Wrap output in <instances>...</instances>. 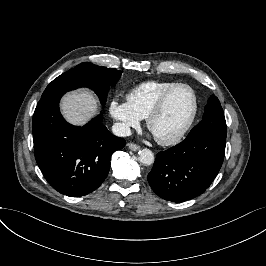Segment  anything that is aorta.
Instances as JSON below:
<instances>
[{
	"instance_id": "obj_1",
	"label": "aorta",
	"mask_w": 266,
	"mask_h": 266,
	"mask_svg": "<svg viewBox=\"0 0 266 266\" xmlns=\"http://www.w3.org/2000/svg\"><path fill=\"white\" fill-rule=\"evenodd\" d=\"M139 161L140 163L150 166L154 163V154L151 150L149 149H142L139 152Z\"/></svg>"
}]
</instances>
